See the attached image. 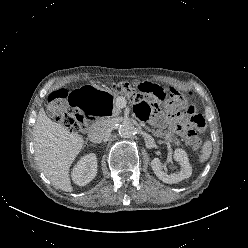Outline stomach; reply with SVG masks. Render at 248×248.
<instances>
[{
  "label": "stomach",
  "mask_w": 248,
  "mask_h": 248,
  "mask_svg": "<svg viewBox=\"0 0 248 248\" xmlns=\"http://www.w3.org/2000/svg\"><path fill=\"white\" fill-rule=\"evenodd\" d=\"M69 101L75 110L87 111L101 119L111 117L117 108L115 98L97 86L75 87L70 93Z\"/></svg>",
  "instance_id": "stomach-1"
}]
</instances>
